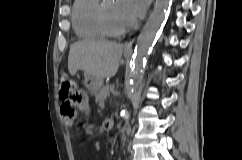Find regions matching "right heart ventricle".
Returning <instances> with one entry per match:
<instances>
[{
	"label": "right heart ventricle",
	"instance_id": "1",
	"mask_svg": "<svg viewBox=\"0 0 242 160\" xmlns=\"http://www.w3.org/2000/svg\"><path fill=\"white\" fill-rule=\"evenodd\" d=\"M100 0H75L71 21L76 35L85 40L103 38V34L97 26L95 19L96 7Z\"/></svg>",
	"mask_w": 242,
	"mask_h": 160
}]
</instances>
